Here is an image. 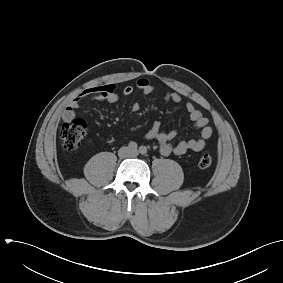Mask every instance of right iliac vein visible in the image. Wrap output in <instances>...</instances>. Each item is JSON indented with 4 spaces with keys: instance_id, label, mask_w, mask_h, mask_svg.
<instances>
[{
    "instance_id": "1",
    "label": "right iliac vein",
    "mask_w": 283,
    "mask_h": 283,
    "mask_svg": "<svg viewBox=\"0 0 283 283\" xmlns=\"http://www.w3.org/2000/svg\"><path fill=\"white\" fill-rule=\"evenodd\" d=\"M129 152H130V150H129L127 147H124V148H122V149L120 150V153H121L122 155H128Z\"/></svg>"
}]
</instances>
